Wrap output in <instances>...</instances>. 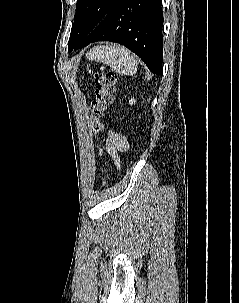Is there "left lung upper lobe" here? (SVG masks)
Returning a JSON list of instances; mask_svg holds the SVG:
<instances>
[{"label":"left lung upper lobe","mask_w":239,"mask_h":303,"mask_svg":"<svg viewBox=\"0 0 239 303\" xmlns=\"http://www.w3.org/2000/svg\"><path fill=\"white\" fill-rule=\"evenodd\" d=\"M117 0H78L68 42V51L79 49L85 37L95 29Z\"/></svg>","instance_id":"obj_1"}]
</instances>
